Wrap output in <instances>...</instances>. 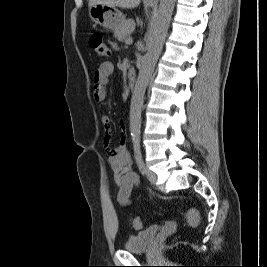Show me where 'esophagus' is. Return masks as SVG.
<instances>
[{"mask_svg":"<svg viewBox=\"0 0 267 267\" xmlns=\"http://www.w3.org/2000/svg\"><path fill=\"white\" fill-rule=\"evenodd\" d=\"M149 2H158L159 0H147Z\"/></svg>","mask_w":267,"mask_h":267,"instance_id":"34e87169","label":"esophagus"}]
</instances>
